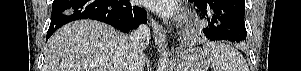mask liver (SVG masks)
Instances as JSON below:
<instances>
[{
	"mask_svg": "<svg viewBox=\"0 0 301 71\" xmlns=\"http://www.w3.org/2000/svg\"><path fill=\"white\" fill-rule=\"evenodd\" d=\"M131 51L129 36L93 20H78L48 40L43 71H125ZM144 64L148 60L142 57Z\"/></svg>",
	"mask_w": 301,
	"mask_h": 71,
	"instance_id": "6515ba94",
	"label": "liver"
}]
</instances>
